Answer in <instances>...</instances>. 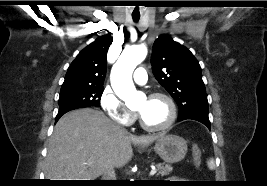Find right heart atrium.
<instances>
[{
	"label": "right heart atrium",
	"instance_id": "d8ad5b80",
	"mask_svg": "<svg viewBox=\"0 0 267 186\" xmlns=\"http://www.w3.org/2000/svg\"><path fill=\"white\" fill-rule=\"evenodd\" d=\"M100 105L111 120L122 126H130L135 120V114L124 105L110 87H106L102 91Z\"/></svg>",
	"mask_w": 267,
	"mask_h": 186
}]
</instances>
